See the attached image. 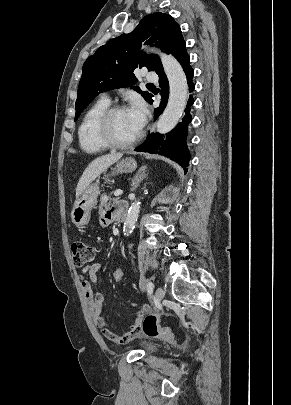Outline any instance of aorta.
<instances>
[{
  "label": "aorta",
  "instance_id": "aorta-1",
  "mask_svg": "<svg viewBox=\"0 0 291 405\" xmlns=\"http://www.w3.org/2000/svg\"><path fill=\"white\" fill-rule=\"evenodd\" d=\"M148 51L160 56L165 74L169 81V99L167 106L157 122V131L166 134L179 122L187 102L188 85L186 75L180 63L172 55H167L155 48ZM140 212V202L135 201L130 206L124 222V233L133 232Z\"/></svg>",
  "mask_w": 291,
  "mask_h": 405
}]
</instances>
